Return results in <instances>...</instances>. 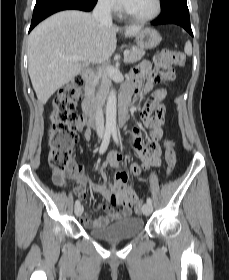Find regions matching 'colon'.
Returning <instances> with one entry per match:
<instances>
[{
    "mask_svg": "<svg viewBox=\"0 0 229 280\" xmlns=\"http://www.w3.org/2000/svg\"><path fill=\"white\" fill-rule=\"evenodd\" d=\"M185 55L182 52L163 49L155 58L154 75L158 82H168L174 79L173 65L183 66ZM85 81L82 77H75L71 83L62 87L52 101L51 121L47 130L49 147L48 162L55 171L53 181L59 186L66 185V168L72 161V152L77 138V132L85 123L75 112V104L81 98ZM157 118L154 122L157 123ZM165 159L168 173L176 164L174 141L165 142ZM115 201V197L111 198ZM135 204V211L141 213L142 205L135 197L129 201Z\"/></svg>",
    "mask_w": 229,
    "mask_h": 280,
    "instance_id": "1",
    "label": "colon"
}]
</instances>
